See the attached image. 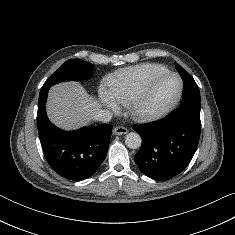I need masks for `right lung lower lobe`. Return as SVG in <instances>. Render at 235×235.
Wrapping results in <instances>:
<instances>
[{
	"mask_svg": "<svg viewBox=\"0 0 235 235\" xmlns=\"http://www.w3.org/2000/svg\"><path fill=\"white\" fill-rule=\"evenodd\" d=\"M48 90L40 91L37 126L44 155L52 169L69 180L90 177L107 155L112 125L63 131L53 125L45 110Z\"/></svg>",
	"mask_w": 235,
	"mask_h": 235,
	"instance_id": "right-lung-lower-lobe-1",
	"label": "right lung lower lobe"
}]
</instances>
